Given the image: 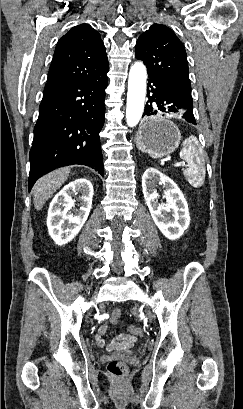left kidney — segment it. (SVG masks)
I'll return each instance as SVG.
<instances>
[{
  "label": "left kidney",
  "instance_id": "5707ae66",
  "mask_svg": "<svg viewBox=\"0 0 243 409\" xmlns=\"http://www.w3.org/2000/svg\"><path fill=\"white\" fill-rule=\"evenodd\" d=\"M157 183L166 188L165 205L158 203L159 195L154 189ZM142 189L152 219L162 234L170 240L181 237L189 226L190 216L187 201L174 181L159 170L148 168L142 176Z\"/></svg>",
  "mask_w": 243,
  "mask_h": 409
}]
</instances>
